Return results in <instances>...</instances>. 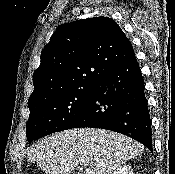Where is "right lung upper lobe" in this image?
Returning <instances> with one entry per match:
<instances>
[{"mask_svg": "<svg viewBox=\"0 0 175 174\" xmlns=\"http://www.w3.org/2000/svg\"><path fill=\"white\" fill-rule=\"evenodd\" d=\"M133 56L129 39L111 18L94 17L62 24L42 50L28 105L95 85L107 71Z\"/></svg>", "mask_w": 175, "mask_h": 174, "instance_id": "obj_1", "label": "right lung upper lobe"}]
</instances>
